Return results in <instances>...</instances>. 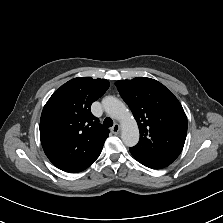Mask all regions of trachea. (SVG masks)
<instances>
[{
    "label": "trachea",
    "instance_id": "1",
    "mask_svg": "<svg viewBox=\"0 0 223 223\" xmlns=\"http://www.w3.org/2000/svg\"><path fill=\"white\" fill-rule=\"evenodd\" d=\"M103 125L107 128L112 127L113 126V121L111 118L107 117L104 119L103 121Z\"/></svg>",
    "mask_w": 223,
    "mask_h": 223
}]
</instances>
